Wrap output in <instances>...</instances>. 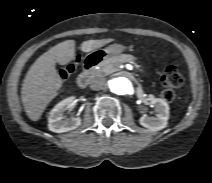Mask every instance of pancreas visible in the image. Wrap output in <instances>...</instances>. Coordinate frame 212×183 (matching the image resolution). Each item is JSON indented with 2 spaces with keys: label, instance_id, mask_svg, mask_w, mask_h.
<instances>
[{
  "label": "pancreas",
  "instance_id": "pancreas-1",
  "mask_svg": "<svg viewBox=\"0 0 212 183\" xmlns=\"http://www.w3.org/2000/svg\"><path fill=\"white\" fill-rule=\"evenodd\" d=\"M122 63H131L133 64L137 69L140 70V72H143L140 65L137 63V58L131 54H121L118 56H113L104 59L99 64V69L95 71L96 75L101 74H111L113 72H116L119 70V66Z\"/></svg>",
  "mask_w": 212,
  "mask_h": 183
}]
</instances>
